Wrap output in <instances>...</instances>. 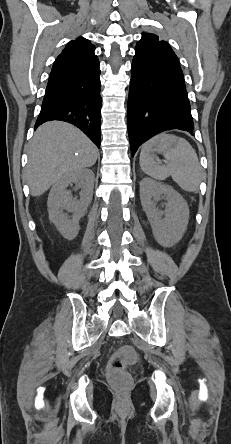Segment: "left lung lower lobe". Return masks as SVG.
I'll list each match as a JSON object with an SVG mask.
<instances>
[{
    "label": "left lung lower lobe",
    "instance_id": "1",
    "mask_svg": "<svg viewBox=\"0 0 231 444\" xmlns=\"http://www.w3.org/2000/svg\"><path fill=\"white\" fill-rule=\"evenodd\" d=\"M127 122L132 156L143 142L162 131L180 129L193 133L190 102L178 63L135 53Z\"/></svg>",
    "mask_w": 231,
    "mask_h": 444
}]
</instances>
